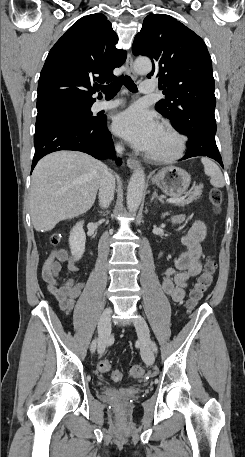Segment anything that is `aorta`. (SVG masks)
I'll return each mask as SVG.
<instances>
[{
	"instance_id": "aorta-1",
	"label": "aorta",
	"mask_w": 245,
	"mask_h": 457,
	"mask_svg": "<svg viewBox=\"0 0 245 457\" xmlns=\"http://www.w3.org/2000/svg\"><path fill=\"white\" fill-rule=\"evenodd\" d=\"M134 69L138 74H148L152 70V63L148 58H138L134 62ZM145 187V173L142 168L136 169L128 183L127 187V209L134 213L138 210Z\"/></svg>"
}]
</instances>
